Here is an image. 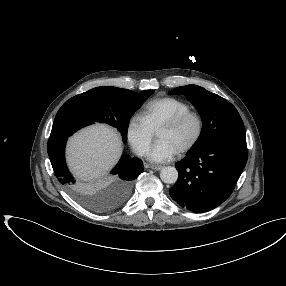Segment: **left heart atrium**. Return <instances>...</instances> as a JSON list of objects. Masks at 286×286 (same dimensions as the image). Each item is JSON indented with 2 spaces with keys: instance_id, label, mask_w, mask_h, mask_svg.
Instances as JSON below:
<instances>
[{
  "instance_id": "39dd6f15",
  "label": "left heart atrium",
  "mask_w": 286,
  "mask_h": 286,
  "mask_svg": "<svg viewBox=\"0 0 286 286\" xmlns=\"http://www.w3.org/2000/svg\"><path fill=\"white\" fill-rule=\"evenodd\" d=\"M179 153L167 140H159L149 153V159L153 162H167L172 160Z\"/></svg>"
}]
</instances>
